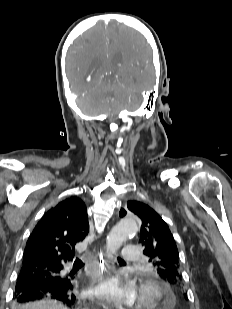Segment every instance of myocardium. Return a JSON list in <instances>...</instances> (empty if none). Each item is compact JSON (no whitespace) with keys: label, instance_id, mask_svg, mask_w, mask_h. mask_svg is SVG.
<instances>
[{"label":"myocardium","instance_id":"1","mask_svg":"<svg viewBox=\"0 0 232 309\" xmlns=\"http://www.w3.org/2000/svg\"><path fill=\"white\" fill-rule=\"evenodd\" d=\"M165 296L162 285L153 277L145 276L138 286V300L135 309H156Z\"/></svg>","mask_w":232,"mask_h":309}]
</instances>
